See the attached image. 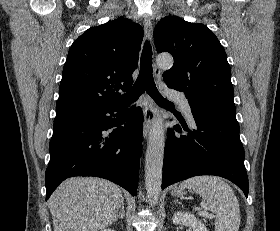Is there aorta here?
I'll return each instance as SVG.
<instances>
[{
    "label": "aorta",
    "instance_id": "1",
    "mask_svg": "<svg viewBox=\"0 0 280 231\" xmlns=\"http://www.w3.org/2000/svg\"><path fill=\"white\" fill-rule=\"evenodd\" d=\"M159 68H171L173 58L170 54L157 56ZM163 117H155L152 129L149 133L148 145L145 155V187L150 205L158 203L162 185V167L164 159L165 129Z\"/></svg>",
    "mask_w": 280,
    "mask_h": 231
}]
</instances>
